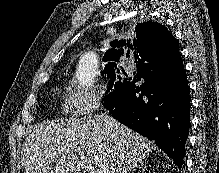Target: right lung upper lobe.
Masks as SVG:
<instances>
[{"mask_svg":"<svg viewBox=\"0 0 219 173\" xmlns=\"http://www.w3.org/2000/svg\"><path fill=\"white\" fill-rule=\"evenodd\" d=\"M110 45L112 48L107 50L103 57L105 68H119L124 56H133L137 66L151 58L159 64L173 65L181 58L178 40L164 25L157 22L138 24L133 44L126 40H114Z\"/></svg>","mask_w":219,"mask_h":173,"instance_id":"right-lung-upper-lobe-1","label":"right lung upper lobe"}]
</instances>
